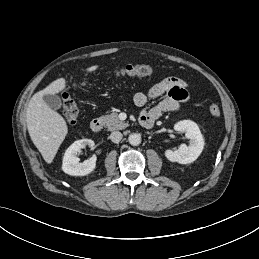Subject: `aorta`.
<instances>
[{
    "label": "aorta",
    "instance_id": "762f6f07",
    "mask_svg": "<svg viewBox=\"0 0 259 259\" xmlns=\"http://www.w3.org/2000/svg\"><path fill=\"white\" fill-rule=\"evenodd\" d=\"M129 143L133 146H137L141 143V136L137 133H132L128 137Z\"/></svg>",
    "mask_w": 259,
    "mask_h": 259
}]
</instances>
